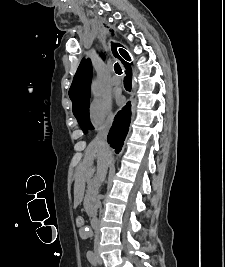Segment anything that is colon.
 <instances>
[{
  "instance_id": "5ec220e1",
  "label": "colon",
  "mask_w": 225,
  "mask_h": 267,
  "mask_svg": "<svg viewBox=\"0 0 225 267\" xmlns=\"http://www.w3.org/2000/svg\"><path fill=\"white\" fill-rule=\"evenodd\" d=\"M75 224L80 230H82L84 226V218L82 216H77L75 218ZM80 234H83V231H81Z\"/></svg>"
}]
</instances>
